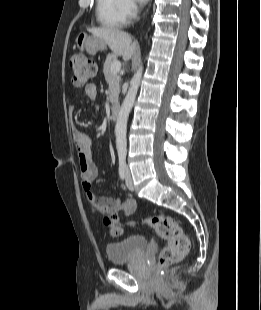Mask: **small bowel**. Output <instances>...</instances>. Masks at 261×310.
I'll use <instances>...</instances> for the list:
<instances>
[{
    "label": "small bowel",
    "instance_id": "1",
    "mask_svg": "<svg viewBox=\"0 0 261 310\" xmlns=\"http://www.w3.org/2000/svg\"><path fill=\"white\" fill-rule=\"evenodd\" d=\"M84 94L90 100H96L97 89L89 84L84 89ZM72 136L78 151V164L81 177V187L90 209L99 214L121 215L123 218L131 216L136 210V202L128 199L124 203L112 197H96L91 191V183L97 177L98 170L92 161L93 140L81 132L77 126L72 124Z\"/></svg>",
    "mask_w": 261,
    "mask_h": 310
}]
</instances>
